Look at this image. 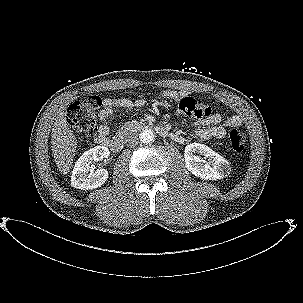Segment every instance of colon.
I'll use <instances>...</instances> for the list:
<instances>
[{"mask_svg":"<svg viewBox=\"0 0 303 303\" xmlns=\"http://www.w3.org/2000/svg\"><path fill=\"white\" fill-rule=\"evenodd\" d=\"M135 96L132 95L131 98ZM102 99L99 96H91L84 102L75 101L67 109V121L76 131L79 139L88 142L96 134V118ZM178 110L181 114L201 118L205 115L202 106H199L192 97H185L179 101ZM246 134L241 129H233L229 134L231 147L240 152L246 143Z\"/></svg>","mask_w":303,"mask_h":303,"instance_id":"1","label":"colon"}]
</instances>
